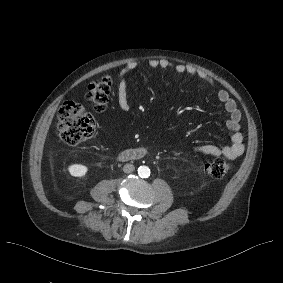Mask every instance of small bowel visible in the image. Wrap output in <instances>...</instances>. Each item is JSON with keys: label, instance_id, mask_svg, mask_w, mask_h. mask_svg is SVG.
I'll use <instances>...</instances> for the list:
<instances>
[{"label": "small bowel", "instance_id": "c3829d8e", "mask_svg": "<svg viewBox=\"0 0 283 283\" xmlns=\"http://www.w3.org/2000/svg\"><path fill=\"white\" fill-rule=\"evenodd\" d=\"M147 66L151 69L162 68L165 70H172L179 74H188L190 76H197L203 80L210 87H214V82L210 76L204 72L198 71L192 66H185L183 64H175L167 59H150L147 61ZM138 67L137 62H130L123 67L119 74L116 84L117 102L121 110L128 111L131 107L128 98V76ZM217 99L223 105L228 113L227 127L232 131L231 143L223 146L202 145L194 148V152L202 153L211 156H223L228 159H236L244 152L243 134L241 126V112L234 99L226 90H219L217 92Z\"/></svg>", "mask_w": 283, "mask_h": 283}]
</instances>
